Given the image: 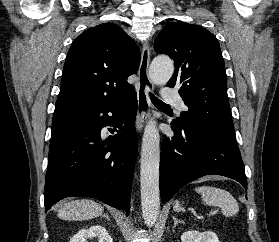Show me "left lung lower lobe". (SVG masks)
<instances>
[{
	"instance_id": "1",
	"label": "left lung lower lobe",
	"mask_w": 279,
	"mask_h": 242,
	"mask_svg": "<svg viewBox=\"0 0 279 242\" xmlns=\"http://www.w3.org/2000/svg\"><path fill=\"white\" fill-rule=\"evenodd\" d=\"M174 137L165 138L160 156V194L168 201L185 184L209 174L241 183L247 179L235 141L212 132H194L171 123Z\"/></svg>"
}]
</instances>
